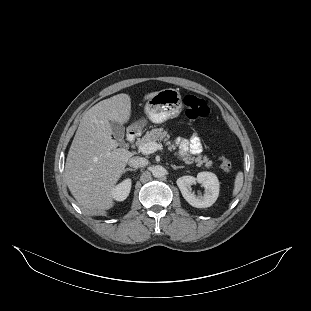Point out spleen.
<instances>
[{"label": "spleen", "instance_id": "obj_1", "mask_svg": "<svg viewBox=\"0 0 311 311\" xmlns=\"http://www.w3.org/2000/svg\"><path fill=\"white\" fill-rule=\"evenodd\" d=\"M244 183V174L243 171H238L235 174L234 182H233V190H232V198H235L241 191Z\"/></svg>", "mask_w": 311, "mask_h": 311}]
</instances>
